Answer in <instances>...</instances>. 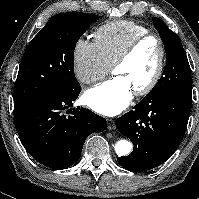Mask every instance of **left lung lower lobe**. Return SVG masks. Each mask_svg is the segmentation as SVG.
<instances>
[{
	"instance_id": "1",
	"label": "left lung lower lobe",
	"mask_w": 199,
	"mask_h": 199,
	"mask_svg": "<svg viewBox=\"0 0 199 199\" xmlns=\"http://www.w3.org/2000/svg\"><path fill=\"white\" fill-rule=\"evenodd\" d=\"M192 106V91H175L157 99L141 100L116 120L133 151L118 157L125 169L143 172L164 163L180 145Z\"/></svg>"
}]
</instances>
